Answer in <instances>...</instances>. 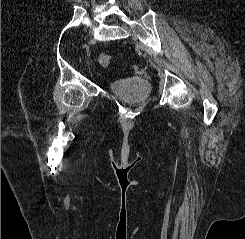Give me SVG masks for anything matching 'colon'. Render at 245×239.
I'll return each mask as SVG.
<instances>
[{"mask_svg":"<svg viewBox=\"0 0 245 239\" xmlns=\"http://www.w3.org/2000/svg\"><path fill=\"white\" fill-rule=\"evenodd\" d=\"M99 62L101 63V65L103 66H107L110 64L111 62V55L109 54H101L99 56Z\"/></svg>","mask_w":245,"mask_h":239,"instance_id":"1","label":"colon"}]
</instances>
